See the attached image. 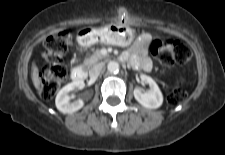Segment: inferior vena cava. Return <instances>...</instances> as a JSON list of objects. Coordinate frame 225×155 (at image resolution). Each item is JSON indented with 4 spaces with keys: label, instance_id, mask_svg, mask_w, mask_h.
<instances>
[{
    "label": "inferior vena cava",
    "instance_id": "602c4592",
    "mask_svg": "<svg viewBox=\"0 0 225 155\" xmlns=\"http://www.w3.org/2000/svg\"><path fill=\"white\" fill-rule=\"evenodd\" d=\"M104 64L103 63H98L94 65L90 70H89V76L90 78L96 79L100 72L103 70Z\"/></svg>",
    "mask_w": 225,
    "mask_h": 155
}]
</instances>
